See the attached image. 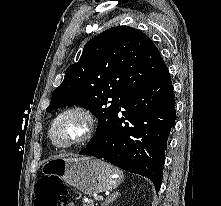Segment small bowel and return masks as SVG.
Wrapping results in <instances>:
<instances>
[{
	"label": "small bowel",
	"instance_id": "small-bowel-1",
	"mask_svg": "<svg viewBox=\"0 0 221 206\" xmlns=\"http://www.w3.org/2000/svg\"><path fill=\"white\" fill-rule=\"evenodd\" d=\"M67 206H75L73 203H68Z\"/></svg>",
	"mask_w": 221,
	"mask_h": 206
}]
</instances>
